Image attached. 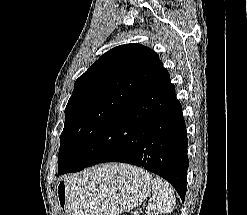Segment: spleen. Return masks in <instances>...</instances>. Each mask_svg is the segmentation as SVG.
I'll return each instance as SVG.
<instances>
[{
  "instance_id": "spleen-1",
  "label": "spleen",
  "mask_w": 247,
  "mask_h": 215,
  "mask_svg": "<svg viewBox=\"0 0 247 215\" xmlns=\"http://www.w3.org/2000/svg\"><path fill=\"white\" fill-rule=\"evenodd\" d=\"M153 201L147 206L148 215L170 213L175 206L176 198L170 184L161 177L156 176L152 180Z\"/></svg>"
}]
</instances>
